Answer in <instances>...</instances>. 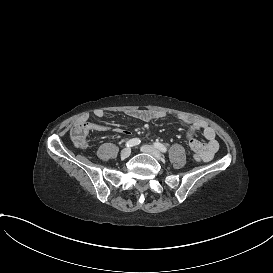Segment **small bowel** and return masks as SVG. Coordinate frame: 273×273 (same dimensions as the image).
Wrapping results in <instances>:
<instances>
[{
  "instance_id": "small-bowel-1",
  "label": "small bowel",
  "mask_w": 273,
  "mask_h": 273,
  "mask_svg": "<svg viewBox=\"0 0 273 273\" xmlns=\"http://www.w3.org/2000/svg\"><path fill=\"white\" fill-rule=\"evenodd\" d=\"M93 115L97 118L105 116V111L102 109H96ZM127 115L133 119L150 121L159 120L167 117V114L163 111L147 110V109H135L127 112ZM177 118L187 127V138L196 137V134L200 132L204 140L208 143V150L204 154H198L199 157L205 161H211L219 149V143L216 138L215 130L209 126L205 121L198 119L189 114H180ZM94 130L96 133L101 134L105 130V126L101 123L95 125ZM120 134H129L128 130L119 129Z\"/></svg>"
}]
</instances>
